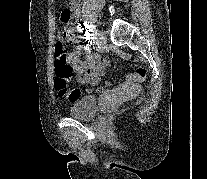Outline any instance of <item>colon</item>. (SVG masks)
I'll return each instance as SVG.
<instances>
[{
    "label": "colon",
    "mask_w": 207,
    "mask_h": 179,
    "mask_svg": "<svg viewBox=\"0 0 207 179\" xmlns=\"http://www.w3.org/2000/svg\"><path fill=\"white\" fill-rule=\"evenodd\" d=\"M54 72H55V87L59 92V96L68 100L74 101L81 97L85 92H91V90H82L78 87L70 86V80L72 75V68L68 62L67 53L64 50L63 44L58 42L56 44L55 59H54ZM147 70L145 68H138L135 72L129 74L125 81L129 84H134L143 81L146 78ZM108 85L97 88L96 92H102Z\"/></svg>",
    "instance_id": "obj_1"
}]
</instances>
